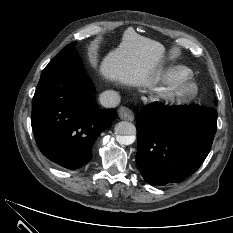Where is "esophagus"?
<instances>
[{
    "instance_id": "obj_1",
    "label": "esophagus",
    "mask_w": 233,
    "mask_h": 233,
    "mask_svg": "<svg viewBox=\"0 0 233 233\" xmlns=\"http://www.w3.org/2000/svg\"><path fill=\"white\" fill-rule=\"evenodd\" d=\"M118 116L122 120H128L133 121L134 120V114L132 110H130L128 107L121 106L118 110Z\"/></svg>"
}]
</instances>
